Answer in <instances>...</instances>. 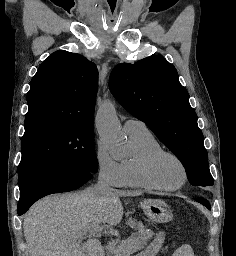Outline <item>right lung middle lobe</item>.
I'll return each mask as SVG.
<instances>
[{
	"label": "right lung middle lobe",
	"mask_w": 236,
	"mask_h": 256,
	"mask_svg": "<svg viewBox=\"0 0 236 256\" xmlns=\"http://www.w3.org/2000/svg\"><path fill=\"white\" fill-rule=\"evenodd\" d=\"M18 167L19 187L50 174L97 172L93 124L37 119L25 122Z\"/></svg>",
	"instance_id": "1"
}]
</instances>
